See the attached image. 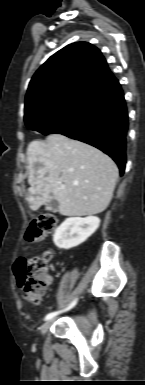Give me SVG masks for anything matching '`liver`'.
Masks as SVG:
<instances>
[{
	"label": "liver",
	"mask_w": 145,
	"mask_h": 385,
	"mask_svg": "<svg viewBox=\"0 0 145 385\" xmlns=\"http://www.w3.org/2000/svg\"><path fill=\"white\" fill-rule=\"evenodd\" d=\"M27 157V201L32 210L52 199L58 201V211L64 216L94 215L109 205L118 168L97 148L63 134H51L45 141H32Z\"/></svg>",
	"instance_id": "1"
}]
</instances>
